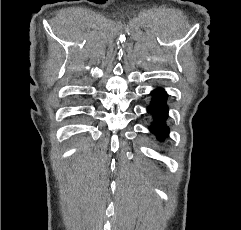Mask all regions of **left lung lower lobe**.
I'll return each instance as SVG.
<instances>
[{
	"label": "left lung lower lobe",
	"mask_w": 241,
	"mask_h": 230,
	"mask_svg": "<svg viewBox=\"0 0 241 230\" xmlns=\"http://www.w3.org/2000/svg\"><path fill=\"white\" fill-rule=\"evenodd\" d=\"M151 94L153 100L148 108V112L154 116L155 121L150 130L158 139L164 140L169 132V128L165 125L168 114V107L166 105L167 94L163 89H156Z\"/></svg>",
	"instance_id": "1"
}]
</instances>
